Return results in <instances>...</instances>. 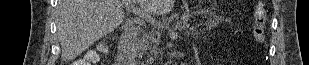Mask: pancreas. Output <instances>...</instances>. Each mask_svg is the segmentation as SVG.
<instances>
[{"instance_id":"obj_1","label":"pancreas","mask_w":309,"mask_h":65,"mask_svg":"<svg viewBox=\"0 0 309 65\" xmlns=\"http://www.w3.org/2000/svg\"><path fill=\"white\" fill-rule=\"evenodd\" d=\"M159 34V30H152L149 33L143 34V36L139 38L137 42L138 50L141 52L150 50L152 54L155 53L157 51V46L160 43Z\"/></svg>"}]
</instances>
